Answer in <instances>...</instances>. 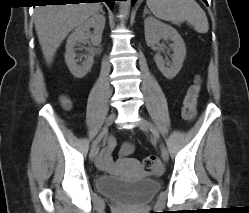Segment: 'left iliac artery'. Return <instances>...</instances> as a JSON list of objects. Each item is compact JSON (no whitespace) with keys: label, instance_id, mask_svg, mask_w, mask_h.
I'll list each match as a JSON object with an SVG mask.
<instances>
[{"label":"left iliac artery","instance_id":"44dca946","mask_svg":"<svg viewBox=\"0 0 249 213\" xmlns=\"http://www.w3.org/2000/svg\"><path fill=\"white\" fill-rule=\"evenodd\" d=\"M151 131H152V133L154 134V136H155L156 138L159 137V134H158V132L156 131V129L152 128Z\"/></svg>","mask_w":249,"mask_h":213}]
</instances>
